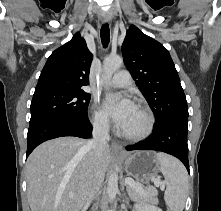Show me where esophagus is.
<instances>
[{
  "label": "esophagus",
  "mask_w": 221,
  "mask_h": 211,
  "mask_svg": "<svg viewBox=\"0 0 221 211\" xmlns=\"http://www.w3.org/2000/svg\"><path fill=\"white\" fill-rule=\"evenodd\" d=\"M101 20H102L103 23L109 22L110 21V15L108 13L102 14ZM111 146H112V150L115 153H117V154H121L122 153V146L118 142L113 141Z\"/></svg>",
  "instance_id": "esophagus-1"
}]
</instances>
